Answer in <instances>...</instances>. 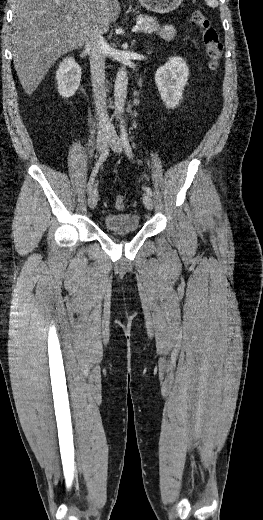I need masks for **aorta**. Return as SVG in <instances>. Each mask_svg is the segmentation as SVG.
<instances>
[{
    "instance_id": "1",
    "label": "aorta",
    "mask_w": 263,
    "mask_h": 520,
    "mask_svg": "<svg viewBox=\"0 0 263 520\" xmlns=\"http://www.w3.org/2000/svg\"><path fill=\"white\" fill-rule=\"evenodd\" d=\"M128 77L125 67L119 68L114 84L115 113L122 115L127 96Z\"/></svg>"
}]
</instances>
